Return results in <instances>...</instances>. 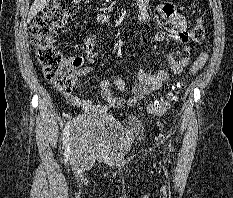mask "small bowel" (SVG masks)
Masks as SVG:
<instances>
[{"instance_id": "small-bowel-1", "label": "small bowel", "mask_w": 233, "mask_h": 198, "mask_svg": "<svg viewBox=\"0 0 233 198\" xmlns=\"http://www.w3.org/2000/svg\"><path fill=\"white\" fill-rule=\"evenodd\" d=\"M150 0H137L139 7V20L146 24L150 21V12L148 4ZM161 18H163L169 25V29L156 34L155 39L163 40L168 37L174 42L181 44L182 48L180 58L176 57L174 52H169L166 59L169 65L168 70H160L156 74H150L141 70L138 73V82L133 84L131 88V95L123 98L117 96L116 91L123 92L126 90L125 81L120 78L105 79L101 82V96L104 102H93L89 99L82 98L79 94H66L67 102L84 111L96 110L99 112H106L110 108L120 106H135L144 97L159 90L168 80L169 76L178 75L182 72L183 68L188 64L190 48L187 43L191 38L190 30L187 26L185 18L169 3L161 4L158 8ZM87 56L95 59L97 54L95 52V37L93 35L86 36L84 40ZM72 63L79 68V75L86 76L92 71V66L83 65L81 57L75 58Z\"/></svg>"}]
</instances>
